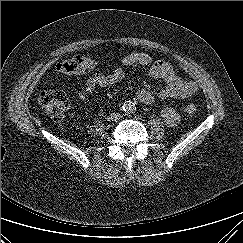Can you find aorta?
I'll return each instance as SVG.
<instances>
[{
  "label": "aorta",
  "instance_id": "obj_1",
  "mask_svg": "<svg viewBox=\"0 0 243 243\" xmlns=\"http://www.w3.org/2000/svg\"><path fill=\"white\" fill-rule=\"evenodd\" d=\"M122 109L125 113L131 114L135 111L136 107L132 101H125L122 105Z\"/></svg>",
  "mask_w": 243,
  "mask_h": 243
}]
</instances>
